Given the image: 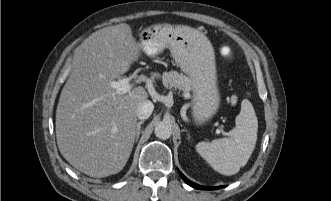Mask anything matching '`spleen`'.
I'll return each instance as SVG.
<instances>
[{"mask_svg": "<svg viewBox=\"0 0 331 201\" xmlns=\"http://www.w3.org/2000/svg\"><path fill=\"white\" fill-rule=\"evenodd\" d=\"M258 120L251 102L242 101L241 111L236 117V126L229 138L212 142H199L197 152L223 175H233L248 162L257 141Z\"/></svg>", "mask_w": 331, "mask_h": 201, "instance_id": "spleen-1", "label": "spleen"}]
</instances>
